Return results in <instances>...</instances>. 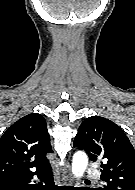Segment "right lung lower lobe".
Returning <instances> with one entry per match:
<instances>
[{"label": "right lung lower lobe", "instance_id": "right-lung-lower-lobe-1", "mask_svg": "<svg viewBox=\"0 0 135 190\" xmlns=\"http://www.w3.org/2000/svg\"><path fill=\"white\" fill-rule=\"evenodd\" d=\"M34 175H37L41 181H45L46 185L43 190H57V186L53 184L52 169L32 174H11L0 178V190H36L38 188L30 186L28 183Z\"/></svg>", "mask_w": 135, "mask_h": 190}]
</instances>
